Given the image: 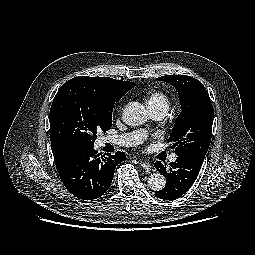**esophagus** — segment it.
Returning <instances> with one entry per match:
<instances>
[{
  "label": "esophagus",
  "mask_w": 255,
  "mask_h": 255,
  "mask_svg": "<svg viewBox=\"0 0 255 255\" xmlns=\"http://www.w3.org/2000/svg\"><path fill=\"white\" fill-rule=\"evenodd\" d=\"M139 164H140V166H141L142 168H144V169H146V170H149V171L153 170V167H152L151 164L148 163V162L140 161Z\"/></svg>",
  "instance_id": "1"
}]
</instances>
